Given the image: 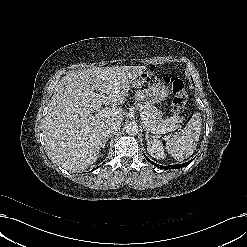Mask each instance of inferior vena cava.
<instances>
[{
  "mask_svg": "<svg viewBox=\"0 0 247 247\" xmlns=\"http://www.w3.org/2000/svg\"><path fill=\"white\" fill-rule=\"evenodd\" d=\"M121 128V121L119 120H112L105 124L104 131L105 134H114L116 131H118Z\"/></svg>",
  "mask_w": 247,
  "mask_h": 247,
  "instance_id": "obj_1",
  "label": "inferior vena cava"
}]
</instances>
